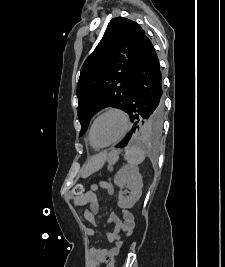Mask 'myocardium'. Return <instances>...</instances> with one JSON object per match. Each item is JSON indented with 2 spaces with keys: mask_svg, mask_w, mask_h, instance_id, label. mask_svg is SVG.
<instances>
[{
  "mask_svg": "<svg viewBox=\"0 0 225 267\" xmlns=\"http://www.w3.org/2000/svg\"><path fill=\"white\" fill-rule=\"evenodd\" d=\"M109 113H116V114L121 116V118L123 119V129H122L120 135L116 139L112 140L111 142L103 144V145H96V144H94L93 139H92V132H93L94 125L99 118H101L102 116L109 114ZM130 125H131L130 117L125 110H123L122 108H119V107H109V108L103 110L102 112H100L92 121L90 128H89V132H88L89 143L94 149H103V148L115 145L125 138V136L129 132Z\"/></svg>",
  "mask_w": 225,
  "mask_h": 267,
  "instance_id": "myocardium-1",
  "label": "myocardium"
}]
</instances>
